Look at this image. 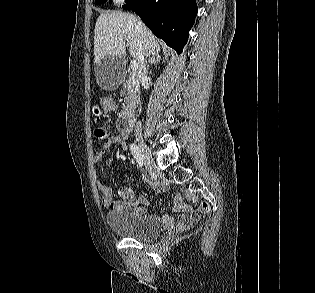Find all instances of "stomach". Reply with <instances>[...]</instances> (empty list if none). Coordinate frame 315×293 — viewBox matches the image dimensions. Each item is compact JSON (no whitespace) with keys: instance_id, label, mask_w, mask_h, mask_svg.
<instances>
[{"instance_id":"1","label":"stomach","mask_w":315,"mask_h":293,"mask_svg":"<svg viewBox=\"0 0 315 293\" xmlns=\"http://www.w3.org/2000/svg\"><path fill=\"white\" fill-rule=\"evenodd\" d=\"M113 103H119V96H102L101 106L103 110L107 111L111 109ZM93 113L96 116H99L101 112L98 108H95Z\"/></svg>"}]
</instances>
